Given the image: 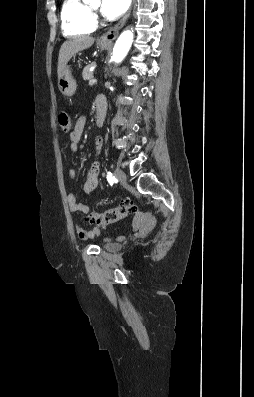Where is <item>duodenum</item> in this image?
I'll return each mask as SVG.
<instances>
[{"label": "duodenum", "mask_w": 254, "mask_h": 397, "mask_svg": "<svg viewBox=\"0 0 254 397\" xmlns=\"http://www.w3.org/2000/svg\"><path fill=\"white\" fill-rule=\"evenodd\" d=\"M107 113V101L103 95H99L96 101V125L101 127Z\"/></svg>", "instance_id": "410a0bca"}]
</instances>
